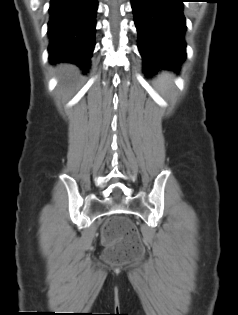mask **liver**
Segmentation results:
<instances>
[{
	"mask_svg": "<svg viewBox=\"0 0 238 315\" xmlns=\"http://www.w3.org/2000/svg\"><path fill=\"white\" fill-rule=\"evenodd\" d=\"M58 78L60 83L66 84L77 78L79 70L77 67L70 64H61L58 66Z\"/></svg>",
	"mask_w": 238,
	"mask_h": 315,
	"instance_id": "6515ba94",
	"label": "liver"
}]
</instances>
